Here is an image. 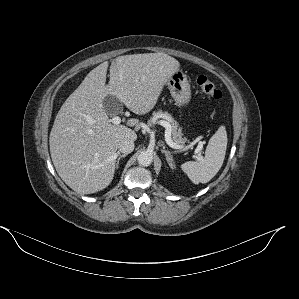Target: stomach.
<instances>
[{
  "label": "stomach",
  "mask_w": 299,
  "mask_h": 299,
  "mask_svg": "<svg viewBox=\"0 0 299 299\" xmlns=\"http://www.w3.org/2000/svg\"><path fill=\"white\" fill-rule=\"evenodd\" d=\"M168 89L178 107H186L191 101V89L186 74L178 69L167 82Z\"/></svg>",
  "instance_id": "0dacf381"
}]
</instances>
